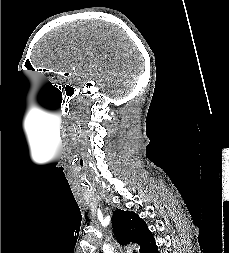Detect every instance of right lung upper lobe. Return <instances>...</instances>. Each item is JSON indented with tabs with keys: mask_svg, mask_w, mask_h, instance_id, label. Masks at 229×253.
<instances>
[{
	"mask_svg": "<svg viewBox=\"0 0 229 253\" xmlns=\"http://www.w3.org/2000/svg\"><path fill=\"white\" fill-rule=\"evenodd\" d=\"M112 227L121 245L136 243L140 246L139 253H143L154 242L147 224L134 212L117 209L112 218Z\"/></svg>",
	"mask_w": 229,
	"mask_h": 253,
	"instance_id": "right-lung-upper-lobe-1",
	"label": "right lung upper lobe"
}]
</instances>
